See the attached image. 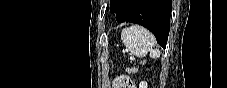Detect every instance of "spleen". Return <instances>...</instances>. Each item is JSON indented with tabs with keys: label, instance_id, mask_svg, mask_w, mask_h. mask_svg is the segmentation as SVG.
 Returning a JSON list of instances; mask_svg holds the SVG:
<instances>
[{
	"label": "spleen",
	"instance_id": "spleen-1",
	"mask_svg": "<svg viewBox=\"0 0 227 88\" xmlns=\"http://www.w3.org/2000/svg\"><path fill=\"white\" fill-rule=\"evenodd\" d=\"M121 39L126 49L137 57H144L150 53V57L159 58L161 52L155 49V38L142 26L132 25L122 30Z\"/></svg>",
	"mask_w": 227,
	"mask_h": 88
}]
</instances>
